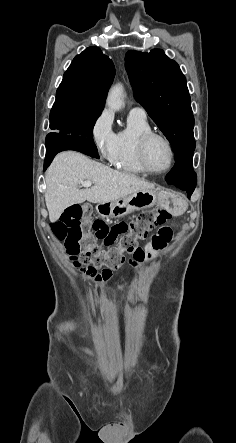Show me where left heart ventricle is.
I'll list each match as a JSON object with an SVG mask.
<instances>
[{"label":"left heart ventricle","mask_w":236,"mask_h":443,"mask_svg":"<svg viewBox=\"0 0 236 443\" xmlns=\"http://www.w3.org/2000/svg\"><path fill=\"white\" fill-rule=\"evenodd\" d=\"M147 159L152 169L157 171L165 169L170 162L167 144L159 138L152 139L147 148Z\"/></svg>","instance_id":"left-heart-ventricle-1"}]
</instances>
